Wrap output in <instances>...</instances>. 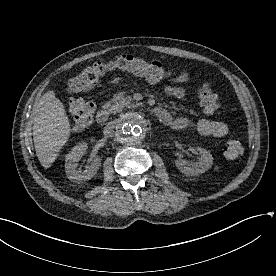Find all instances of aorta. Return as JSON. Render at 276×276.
Segmentation results:
<instances>
[{"instance_id":"obj_1","label":"aorta","mask_w":276,"mask_h":276,"mask_svg":"<svg viewBox=\"0 0 276 276\" xmlns=\"http://www.w3.org/2000/svg\"><path fill=\"white\" fill-rule=\"evenodd\" d=\"M145 134V122L137 112L125 114L117 126V137L126 145L139 143Z\"/></svg>"}]
</instances>
